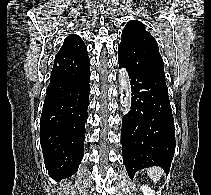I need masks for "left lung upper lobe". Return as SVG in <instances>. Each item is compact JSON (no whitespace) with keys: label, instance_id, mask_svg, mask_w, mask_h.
<instances>
[{"label":"left lung upper lobe","instance_id":"1","mask_svg":"<svg viewBox=\"0 0 211 195\" xmlns=\"http://www.w3.org/2000/svg\"><path fill=\"white\" fill-rule=\"evenodd\" d=\"M118 55L137 69H144L165 83L163 59L153 36L141 22L130 20L122 31Z\"/></svg>","mask_w":211,"mask_h":195}]
</instances>
